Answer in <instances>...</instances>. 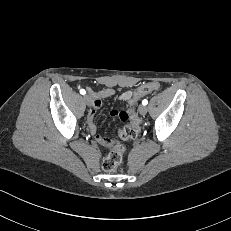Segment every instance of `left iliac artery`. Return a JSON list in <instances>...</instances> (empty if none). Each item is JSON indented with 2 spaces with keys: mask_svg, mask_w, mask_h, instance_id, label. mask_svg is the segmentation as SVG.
<instances>
[{
  "mask_svg": "<svg viewBox=\"0 0 231 231\" xmlns=\"http://www.w3.org/2000/svg\"><path fill=\"white\" fill-rule=\"evenodd\" d=\"M147 103H148V101H147L146 99H144V100L142 101V104H143V105H147Z\"/></svg>",
  "mask_w": 231,
  "mask_h": 231,
  "instance_id": "left-iliac-artery-1",
  "label": "left iliac artery"
}]
</instances>
